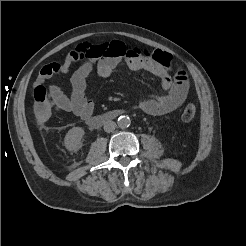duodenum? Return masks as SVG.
Here are the masks:
<instances>
[{
    "instance_id": "1",
    "label": "duodenum",
    "mask_w": 246,
    "mask_h": 246,
    "mask_svg": "<svg viewBox=\"0 0 246 246\" xmlns=\"http://www.w3.org/2000/svg\"><path fill=\"white\" fill-rule=\"evenodd\" d=\"M124 114L123 110H110L105 113L92 116L88 119V124L93 127V128H99L101 127L104 123L111 121L119 116Z\"/></svg>"
}]
</instances>
